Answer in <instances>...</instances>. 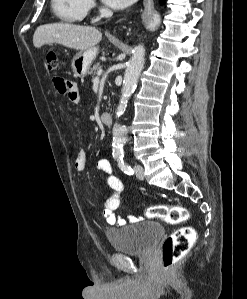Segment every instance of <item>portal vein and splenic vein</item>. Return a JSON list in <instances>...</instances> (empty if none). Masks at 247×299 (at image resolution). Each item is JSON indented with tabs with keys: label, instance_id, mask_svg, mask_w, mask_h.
Masks as SVG:
<instances>
[{
	"label": "portal vein and splenic vein",
	"instance_id": "18ae733b",
	"mask_svg": "<svg viewBox=\"0 0 247 299\" xmlns=\"http://www.w3.org/2000/svg\"><path fill=\"white\" fill-rule=\"evenodd\" d=\"M102 73H103V71H102V70H99V71L97 72V77L95 78V80H98L99 77L102 75Z\"/></svg>",
	"mask_w": 247,
	"mask_h": 299
}]
</instances>
